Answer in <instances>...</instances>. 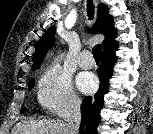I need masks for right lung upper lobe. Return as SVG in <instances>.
Masks as SVG:
<instances>
[{"label": "right lung upper lobe", "mask_w": 153, "mask_h": 134, "mask_svg": "<svg viewBox=\"0 0 153 134\" xmlns=\"http://www.w3.org/2000/svg\"><path fill=\"white\" fill-rule=\"evenodd\" d=\"M55 31V27L51 26L37 42L36 50L32 59L33 70H36L40 67L47 51L53 46ZM94 32L96 34H103L105 36V39L102 42L103 51L117 44L115 41L117 31L114 28L113 18L108 14V8L105 4L101 3L98 6L97 23L94 27Z\"/></svg>", "instance_id": "1"}]
</instances>
